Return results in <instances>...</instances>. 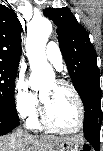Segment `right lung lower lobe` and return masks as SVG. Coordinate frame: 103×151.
I'll use <instances>...</instances> for the list:
<instances>
[{"mask_svg": "<svg viewBox=\"0 0 103 151\" xmlns=\"http://www.w3.org/2000/svg\"><path fill=\"white\" fill-rule=\"evenodd\" d=\"M18 123V117L0 111V135L9 133L18 125Z\"/></svg>", "mask_w": 103, "mask_h": 151, "instance_id": "1", "label": "right lung lower lobe"}]
</instances>
